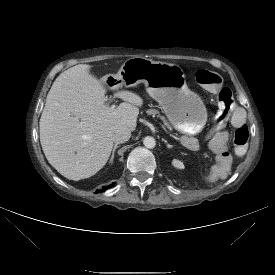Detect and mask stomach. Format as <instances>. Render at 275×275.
<instances>
[{
  "label": "stomach",
  "mask_w": 275,
  "mask_h": 275,
  "mask_svg": "<svg viewBox=\"0 0 275 275\" xmlns=\"http://www.w3.org/2000/svg\"><path fill=\"white\" fill-rule=\"evenodd\" d=\"M102 83L111 90L144 83L147 93L159 103L171 125L184 135H196L206 125L205 103L188 88L184 71L176 64L130 58L116 74L105 76Z\"/></svg>",
  "instance_id": "stomach-1"
}]
</instances>
